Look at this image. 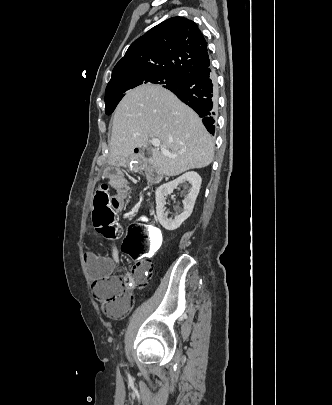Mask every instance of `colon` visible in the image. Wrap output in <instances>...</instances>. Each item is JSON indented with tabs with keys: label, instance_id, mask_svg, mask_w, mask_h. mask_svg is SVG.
<instances>
[{
	"label": "colon",
	"instance_id": "5ec220e1",
	"mask_svg": "<svg viewBox=\"0 0 332 405\" xmlns=\"http://www.w3.org/2000/svg\"><path fill=\"white\" fill-rule=\"evenodd\" d=\"M111 190L106 184L95 193L92 220L98 234L113 239L118 234L116 213L111 210ZM154 229L153 231L151 229ZM162 238L159 229L151 221L138 220L129 227L128 238L123 247V256H155L159 251ZM152 272V262L141 259L129 278L108 275L94 284L97 301L103 305L109 315L122 312L129 301V290L134 286H143Z\"/></svg>",
	"mask_w": 332,
	"mask_h": 405
}]
</instances>
